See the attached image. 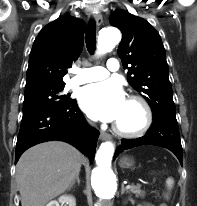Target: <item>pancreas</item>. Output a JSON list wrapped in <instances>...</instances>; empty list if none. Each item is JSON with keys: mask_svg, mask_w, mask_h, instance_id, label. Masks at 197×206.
<instances>
[{"mask_svg": "<svg viewBox=\"0 0 197 206\" xmlns=\"http://www.w3.org/2000/svg\"><path fill=\"white\" fill-rule=\"evenodd\" d=\"M129 192H131V193H133V194H136V196H141V197H144V195H145V192L140 189V186H139V185H137V186H135V185L132 186V187L129 189Z\"/></svg>", "mask_w": 197, "mask_h": 206, "instance_id": "cf45deb5", "label": "pancreas"}]
</instances>
